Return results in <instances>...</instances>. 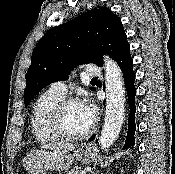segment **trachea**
Wrapping results in <instances>:
<instances>
[{"mask_svg": "<svg viewBox=\"0 0 175 174\" xmlns=\"http://www.w3.org/2000/svg\"><path fill=\"white\" fill-rule=\"evenodd\" d=\"M92 81H97V78H93Z\"/></svg>", "mask_w": 175, "mask_h": 174, "instance_id": "trachea-1", "label": "trachea"}]
</instances>
